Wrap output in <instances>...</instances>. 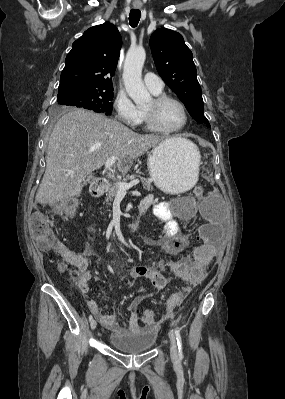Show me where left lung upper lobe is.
Wrapping results in <instances>:
<instances>
[{
	"instance_id": "1",
	"label": "left lung upper lobe",
	"mask_w": 285,
	"mask_h": 399,
	"mask_svg": "<svg viewBox=\"0 0 285 399\" xmlns=\"http://www.w3.org/2000/svg\"><path fill=\"white\" fill-rule=\"evenodd\" d=\"M149 45L163 81L177 94L197 122L210 127L204 116L201 87L197 80L193 55L182 35L170 29L160 28L152 33Z\"/></svg>"
}]
</instances>
